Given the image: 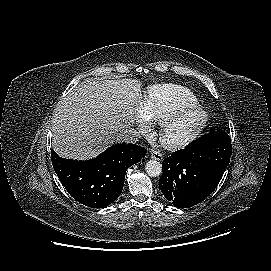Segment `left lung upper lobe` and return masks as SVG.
Here are the masks:
<instances>
[{
  "label": "left lung upper lobe",
  "mask_w": 271,
  "mask_h": 271,
  "mask_svg": "<svg viewBox=\"0 0 271 271\" xmlns=\"http://www.w3.org/2000/svg\"><path fill=\"white\" fill-rule=\"evenodd\" d=\"M231 152V139L225 134L216 143L200 144L194 153L200 160L225 171L230 162Z\"/></svg>",
  "instance_id": "left-lung-upper-lobe-1"
}]
</instances>
